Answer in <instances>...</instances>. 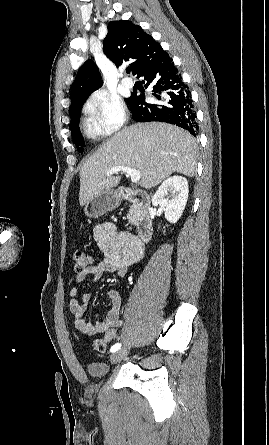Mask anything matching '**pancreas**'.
<instances>
[{"label":"pancreas","mask_w":269,"mask_h":445,"mask_svg":"<svg viewBox=\"0 0 269 445\" xmlns=\"http://www.w3.org/2000/svg\"><path fill=\"white\" fill-rule=\"evenodd\" d=\"M139 216H140L139 207H138V205L133 204L130 208L128 215H127L129 223L136 224L138 222Z\"/></svg>","instance_id":"obj_1"}]
</instances>
